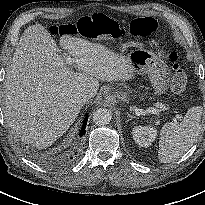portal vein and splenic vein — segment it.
<instances>
[{
  "instance_id": "1",
  "label": "portal vein and splenic vein",
  "mask_w": 205,
  "mask_h": 205,
  "mask_svg": "<svg viewBox=\"0 0 205 205\" xmlns=\"http://www.w3.org/2000/svg\"><path fill=\"white\" fill-rule=\"evenodd\" d=\"M66 63L68 65H72V63L74 62L73 59L70 57V56H66ZM161 108H164L165 109V106L164 105H161ZM145 113H149V114H156V115H159L160 111L159 109H156V108H149L147 110H145ZM181 116H176L174 118V120L176 121L177 119H180Z\"/></svg>"
}]
</instances>
